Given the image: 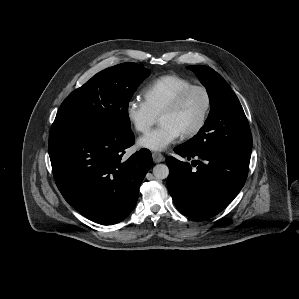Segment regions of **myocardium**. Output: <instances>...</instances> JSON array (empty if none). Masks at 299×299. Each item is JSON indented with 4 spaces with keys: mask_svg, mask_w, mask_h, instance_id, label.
I'll list each match as a JSON object with an SVG mask.
<instances>
[{
    "mask_svg": "<svg viewBox=\"0 0 299 299\" xmlns=\"http://www.w3.org/2000/svg\"><path fill=\"white\" fill-rule=\"evenodd\" d=\"M194 91H200L203 94L205 98V107L198 123L190 130L182 133V137L184 138H191L196 136L198 133L202 131V129L205 127L208 121L211 108H212V96L207 87H205L204 85H191L187 87L186 89L181 91L178 95H176L174 99L161 111L159 115L160 117L164 114L177 111L185 102V100L188 98V96Z\"/></svg>",
    "mask_w": 299,
    "mask_h": 299,
    "instance_id": "f54148a6",
    "label": "myocardium"
}]
</instances>
